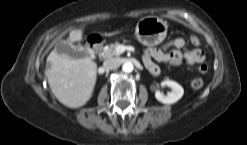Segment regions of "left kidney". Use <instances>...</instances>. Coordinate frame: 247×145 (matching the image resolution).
Returning <instances> with one entry per match:
<instances>
[{
  "mask_svg": "<svg viewBox=\"0 0 247 145\" xmlns=\"http://www.w3.org/2000/svg\"><path fill=\"white\" fill-rule=\"evenodd\" d=\"M161 85L170 87L171 92L167 93V95H164L160 91H157L155 93V97L159 102L164 104H173L182 98L184 90L177 82L172 80H164Z\"/></svg>",
  "mask_w": 247,
  "mask_h": 145,
  "instance_id": "obj_1",
  "label": "left kidney"
}]
</instances>
